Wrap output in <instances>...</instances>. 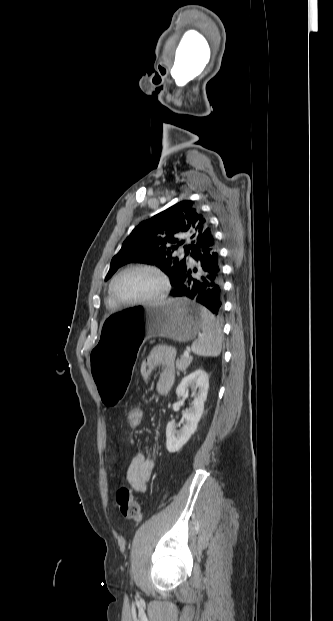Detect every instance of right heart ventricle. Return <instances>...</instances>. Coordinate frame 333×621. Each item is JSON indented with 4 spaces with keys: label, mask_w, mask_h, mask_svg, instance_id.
Wrapping results in <instances>:
<instances>
[{
    "label": "right heart ventricle",
    "mask_w": 333,
    "mask_h": 621,
    "mask_svg": "<svg viewBox=\"0 0 333 621\" xmlns=\"http://www.w3.org/2000/svg\"><path fill=\"white\" fill-rule=\"evenodd\" d=\"M106 302H107V305H108L110 308H115V307H116V304L113 302V300L111 299V297H110V295H109V294H108V296H107V298H106Z\"/></svg>",
    "instance_id": "e07e8e85"
}]
</instances>
